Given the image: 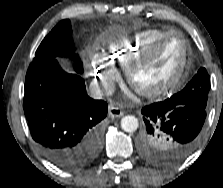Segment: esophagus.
Wrapping results in <instances>:
<instances>
[{
  "label": "esophagus",
  "mask_w": 223,
  "mask_h": 188,
  "mask_svg": "<svg viewBox=\"0 0 223 188\" xmlns=\"http://www.w3.org/2000/svg\"><path fill=\"white\" fill-rule=\"evenodd\" d=\"M123 114L124 112L120 108L114 106L113 104L109 105L108 115L110 118H118L123 116Z\"/></svg>",
  "instance_id": "esophagus-1"
}]
</instances>
